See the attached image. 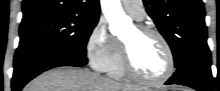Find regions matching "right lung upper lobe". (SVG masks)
I'll use <instances>...</instances> for the list:
<instances>
[{
    "label": "right lung upper lobe",
    "instance_id": "1",
    "mask_svg": "<svg viewBox=\"0 0 220 91\" xmlns=\"http://www.w3.org/2000/svg\"><path fill=\"white\" fill-rule=\"evenodd\" d=\"M22 11L21 23L63 14L89 17L100 15L98 0H23Z\"/></svg>",
    "mask_w": 220,
    "mask_h": 91
}]
</instances>
